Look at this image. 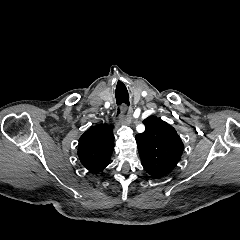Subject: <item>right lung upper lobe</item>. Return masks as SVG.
Returning <instances> with one entry per match:
<instances>
[{"label": "right lung upper lobe", "mask_w": 240, "mask_h": 240, "mask_svg": "<svg viewBox=\"0 0 240 240\" xmlns=\"http://www.w3.org/2000/svg\"><path fill=\"white\" fill-rule=\"evenodd\" d=\"M113 126L89 128L79 139L78 157L91 173H99L109 164L114 149Z\"/></svg>", "instance_id": "cb5924a9"}]
</instances>
